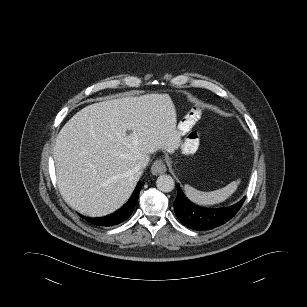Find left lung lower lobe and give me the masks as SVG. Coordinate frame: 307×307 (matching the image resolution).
<instances>
[{"label":"left lung lower lobe","instance_id":"0a47b994","mask_svg":"<svg viewBox=\"0 0 307 307\" xmlns=\"http://www.w3.org/2000/svg\"><path fill=\"white\" fill-rule=\"evenodd\" d=\"M244 200L245 197L225 208H203L189 201L178 185L177 198L173 206L178 220L183 225L196 231H205L223 225L233 218Z\"/></svg>","mask_w":307,"mask_h":307}]
</instances>
